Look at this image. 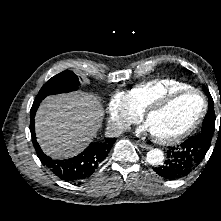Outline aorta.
<instances>
[{
	"instance_id": "762f6f07",
	"label": "aorta",
	"mask_w": 221,
	"mask_h": 221,
	"mask_svg": "<svg viewBox=\"0 0 221 221\" xmlns=\"http://www.w3.org/2000/svg\"><path fill=\"white\" fill-rule=\"evenodd\" d=\"M146 159L150 165L158 166L162 164L164 160V154L160 149L153 148L147 152Z\"/></svg>"
}]
</instances>
